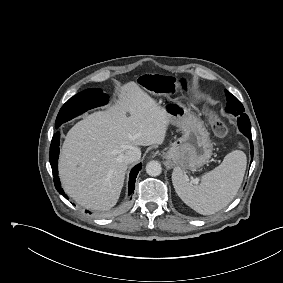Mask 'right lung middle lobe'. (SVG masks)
<instances>
[{
  "label": "right lung middle lobe",
  "mask_w": 283,
  "mask_h": 283,
  "mask_svg": "<svg viewBox=\"0 0 283 283\" xmlns=\"http://www.w3.org/2000/svg\"><path fill=\"white\" fill-rule=\"evenodd\" d=\"M108 98L109 96L98 88H90L78 93L69 99L60 109L56 118V128L91 108L106 104Z\"/></svg>",
  "instance_id": "obj_1"
}]
</instances>
